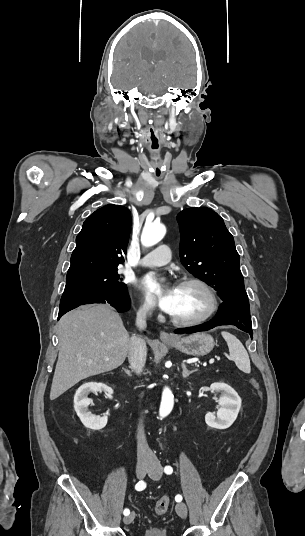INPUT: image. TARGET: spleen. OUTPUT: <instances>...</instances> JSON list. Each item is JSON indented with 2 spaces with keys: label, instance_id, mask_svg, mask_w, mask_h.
I'll use <instances>...</instances> for the list:
<instances>
[{
  "label": "spleen",
  "instance_id": "spleen-1",
  "mask_svg": "<svg viewBox=\"0 0 305 536\" xmlns=\"http://www.w3.org/2000/svg\"><path fill=\"white\" fill-rule=\"evenodd\" d=\"M221 334L225 342H227L231 360L235 362L237 368H239L241 372H244V374H250V360L243 344L237 340L236 336H232V334H229V332H221Z\"/></svg>",
  "mask_w": 305,
  "mask_h": 536
}]
</instances>
